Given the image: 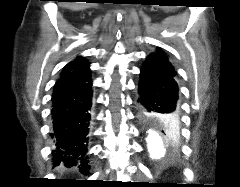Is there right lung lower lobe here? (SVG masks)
Here are the masks:
<instances>
[{"label":"right lung lower lobe","instance_id":"98d812e1","mask_svg":"<svg viewBox=\"0 0 240 187\" xmlns=\"http://www.w3.org/2000/svg\"><path fill=\"white\" fill-rule=\"evenodd\" d=\"M89 66L86 63L61 75L52 94L54 166L78 165L83 173L90 168L86 156L92 105Z\"/></svg>","mask_w":240,"mask_h":187}]
</instances>
